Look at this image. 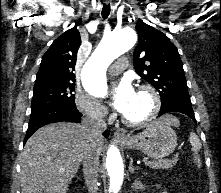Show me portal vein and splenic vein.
Wrapping results in <instances>:
<instances>
[{
	"label": "portal vein and splenic vein",
	"instance_id": "18ae733b",
	"mask_svg": "<svg viewBox=\"0 0 221 193\" xmlns=\"http://www.w3.org/2000/svg\"><path fill=\"white\" fill-rule=\"evenodd\" d=\"M152 164L151 161H144L145 166H150ZM60 171H64V169H60Z\"/></svg>",
	"mask_w": 221,
	"mask_h": 193
}]
</instances>
